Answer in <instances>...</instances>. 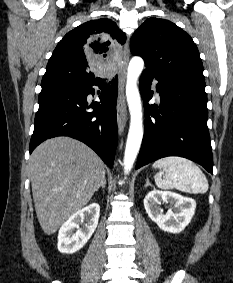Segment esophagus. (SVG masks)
Returning a JSON list of instances; mask_svg holds the SVG:
<instances>
[{
  "label": "esophagus",
  "instance_id": "34e87169",
  "mask_svg": "<svg viewBox=\"0 0 233 283\" xmlns=\"http://www.w3.org/2000/svg\"><path fill=\"white\" fill-rule=\"evenodd\" d=\"M130 50L128 42L124 46L122 66L118 73V100H117V125L119 133L122 134L127 122V108L125 101L126 70L129 61Z\"/></svg>",
  "mask_w": 233,
  "mask_h": 283
}]
</instances>
